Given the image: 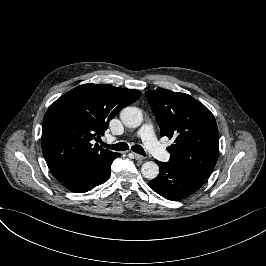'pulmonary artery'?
Returning <instances> with one entry per match:
<instances>
[{"label":"pulmonary artery","mask_w":266,"mask_h":266,"mask_svg":"<svg viewBox=\"0 0 266 266\" xmlns=\"http://www.w3.org/2000/svg\"><path fill=\"white\" fill-rule=\"evenodd\" d=\"M139 134L141 135L142 140L145 141V146L147 149H149L150 153L158 156V158L161 160L166 159L168 152L167 150L162 149L160 146H158V139L153 135L152 127H143ZM114 140L115 138L112 136L108 137L107 139L108 142H113Z\"/></svg>","instance_id":"e3ab8cb5"}]
</instances>
